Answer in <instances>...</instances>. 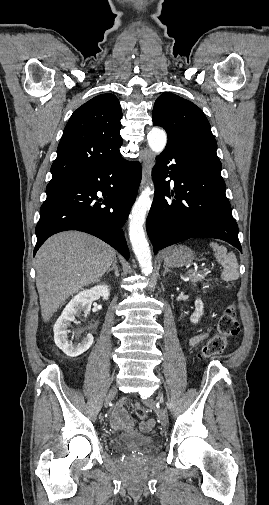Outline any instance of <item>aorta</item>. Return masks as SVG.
I'll list each match as a JSON object with an SVG mask.
<instances>
[{
    "label": "aorta",
    "mask_w": 269,
    "mask_h": 505,
    "mask_svg": "<svg viewBox=\"0 0 269 505\" xmlns=\"http://www.w3.org/2000/svg\"><path fill=\"white\" fill-rule=\"evenodd\" d=\"M149 147L155 154H160L167 143V135L163 129L154 127L147 135ZM153 191L147 186L134 203L129 221V237L132 249L145 276L152 273L151 252L145 237L143 224L146 214L152 204Z\"/></svg>",
    "instance_id": "aorta-1"
}]
</instances>
